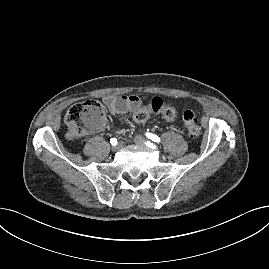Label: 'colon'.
<instances>
[{
	"label": "colon",
	"mask_w": 269,
	"mask_h": 269,
	"mask_svg": "<svg viewBox=\"0 0 269 269\" xmlns=\"http://www.w3.org/2000/svg\"><path fill=\"white\" fill-rule=\"evenodd\" d=\"M151 114L162 116L168 121L176 117L174 106L161 98H153L148 105L140 104L135 111V119L139 122L145 121ZM105 111L100 101L88 100L73 105L65 115L64 123L67 129L66 135L69 139H77L88 132L96 131L104 123ZM188 136L197 139L201 135V128L197 123L194 113L185 110L182 115Z\"/></svg>",
	"instance_id": "5ec220e1"
}]
</instances>
